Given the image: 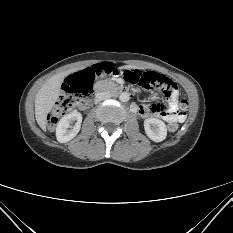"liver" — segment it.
Instances as JSON below:
<instances>
[{"mask_svg": "<svg viewBox=\"0 0 233 233\" xmlns=\"http://www.w3.org/2000/svg\"><path fill=\"white\" fill-rule=\"evenodd\" d=\"M133 68L131 65L123 66L122 69ZM77 69L68 70L49 78L39 89L35 97V117L41 129H46L47 114L51 111L59 97L61 84L64 79Z\"/></svg>", "mask_w": 233, "mask_h": 233, "instance_id": "liver-1", "label": "liver"}]
</instances>
